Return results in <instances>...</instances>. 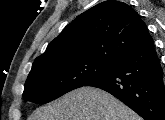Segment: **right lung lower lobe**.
I'll return each instance as SVG.
<instances>
[{"mask_svg":"<svg viewBox=\"0 0 165 120\" xmlns=\"http://www.w3.org/2000/svg\"><path fill=\"white\" fill-rule=\"evenodd\" d=\"M85 86L109 92L144 120H165L163 70L153 40L127 54L112 71Z\"/></svg>","mask_w":165,"mask_h":120,"instance_id":"1","label":"right lung lower lobe"}]
</instances>
